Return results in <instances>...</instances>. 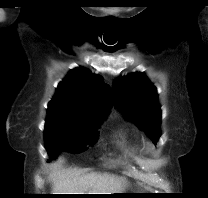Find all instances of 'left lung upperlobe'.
I'll list each match as a JSON object with an SVG mask.
<instances>
[{
	"label": "left lung upper lobe",
	"mask_w": 208,
	"mask_h": 198,
	"mask_svg": "<svg viewBox=\"0 0 208 198\" xmlns=\"http://www.w3.org/2000/svg\"><path fill=\"white\" fill-rule=\"evenodd\" d=\"M113 90L115 104L156 144L160 137L161 110L154 85L143 73H132L115 80Z\"/></svg>",
	"instance_id": "left-lung-upper-lobe-1"
}]
</instances>
